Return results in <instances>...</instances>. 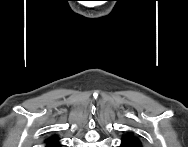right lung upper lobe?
<instances>
[{"label": "right lung upper lobe", "mask_w": 188, "mask_h": 147, "mask_svg": "<svg viewBox=\"0 0 188 147\" xmlns=\"http://www.w3.org/2000/svg\"><path fill=\"white\" fill-rule=\"evenodd\" d=\"M59 138L55 135L45 140L46 147H59Z\"/></svg>", "instance_id": "cb5924a9"}]
</instances>
